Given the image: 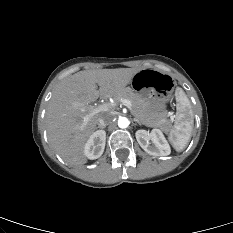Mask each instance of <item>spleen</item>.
<instances>
[{"label":"spleen","mask_w":233,"mask_h":233,"mask_svg":"<svg viewBox=\"0 0 233 233\" xmlns=\"http://www.w3.org/2000/svg\"><path fill=\"white\" fill-rule=\"evenodd\" d=\"M177 114L168 138L176 151L185 149L191 139L194 126V115L191 102L181 88L176 89Z\"/></svg>","instance_id":"obj_1"}]
</instances>
